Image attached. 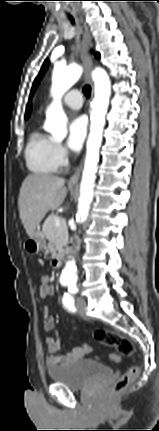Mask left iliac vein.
<instances>
[{
	"mask_svg": "<svg viewBox=\"0 0 159 431\" xmlns=\"http://www.w3.org/2000/svg\"><path fill=\"white\" fill-rule=\"evenodd\" d=\"M76 305H77L78 313L82 317H85V315H86V301H85V299L82 297L78 298Z\"/></svg>",
	"mask_w": 159,
	"mask_h": 431,
	"instance_id": "obj_1",
	"label": "left iliac vein"
}]
</instances>
